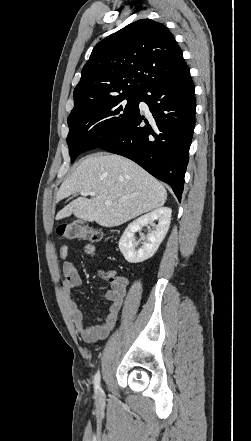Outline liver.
Segmentation results:
<instances>
[{"label": "liver", "instance_id": "obj_1", "mask_svg": "<svg viewBox=\"0 0 251 441\" xmlns=\"http://www.w3.org/2000/svg\"><path fill=\"white\" fill-rule=\"evenodd\" d=\"M82 191L96 192L78 198L56 215L72 214L103 227L119 226L141 214L160 208L167 199L164 186L133 161L110 154L86 157L60 186L57 202ZM111 201V205H106Z\"/></svg>", "mask_w": 251, "mask_h": 441}]
</instances>
